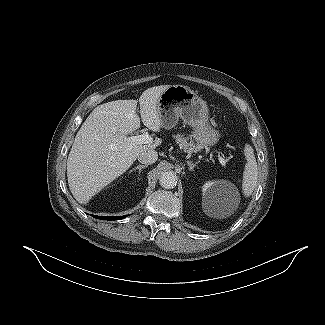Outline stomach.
Masks as SVG:
<instances>
[{"label":"stomach","instance_id":"stomach-1","mask_svg":"<svg viewBox=\"0 0 325 325\" xmlns=\"http://www.w3.org/2000/svg\"><path fill=\"white\" fill-rule=\"evenodd\" d=\"M161 127L172 129L179 118L193 128L191 138L202 147L218 143L220 132L209 123L207 103L187 86L170 85L157 103Z\"/></svg>","mask_w":325,"mask_h":325}]
</instances>
